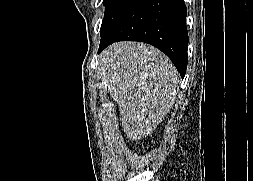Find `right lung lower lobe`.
Instances as JSON below:
<instances>
[{
	"label": "right lung lower lobe",
	"instance_id": "98d812e1",
	"mask_svg": "<svg viewBox=\"0 0 253 181\" xmlns=\"http://www.w3.org/2000/svg\"><path fill=\"white\" fill-rule=\"evenodd\" d=\"M130 40L151 44L174 63L181 77L187 67L188 32L183 0H134L101 34L98 53L109 44Z\"/></svg>",
	"mask_w": 253,
	"mask_h": 181
}]
</instances>
